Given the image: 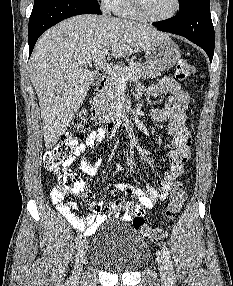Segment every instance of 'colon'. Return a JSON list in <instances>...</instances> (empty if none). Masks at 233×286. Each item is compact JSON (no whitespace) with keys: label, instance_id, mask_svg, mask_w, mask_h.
Returning <instances> with one entry per match:
<instances>
[{"label":"colon","instance_id":"1","mask_svg":"<svg viewBox=\"0 0 233 286\" xmlns=\"http://www.w3.org/2000/svg\"><path fill=\"white\" fill-rule=\"evenodd\" d=\"M195 75V67L185 60H180L176 65V77L188 82ZM89 128V119L86 112H80L75 116L72 123L60 137L59 141L44 155L45 168L57 175L60 188L71 192H82L85 189L84 183L71 170L61 168L63 162L71 158L75 152L79 140L83 137ZM186 192L180 182L174 184L170 200L165 208V216L167 219L175 218L184 205ZM115 213L124 216L128 210L116 206ZM142 213L135 210L132 216V225L136 232L143 238L157 242L161 238V232L151 228L145 223L141 216Z\"/></svg>","mask_w":233,"mask_h":286}]
</instances>
